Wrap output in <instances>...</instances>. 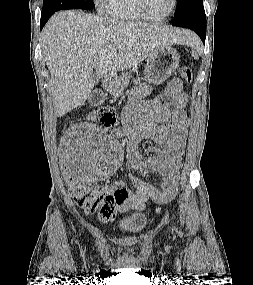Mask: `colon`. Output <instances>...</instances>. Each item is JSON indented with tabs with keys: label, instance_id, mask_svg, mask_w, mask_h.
I'll list each match as a JSON object with an SVG mask.
<instances>
[{
	"label": "colon",
	"instance_id": "1",
	"mask_svg": "<svg viewBox=\"0 0 253 285\" xmlns=\"http://www.w3.org/2000/svg\"><path fill=\"white\" fill-rule=\"evenodd\" d=\"M179 75L187 82L193 79L192 70L188 66H182ZM69 140V136L60 140L61 149L57 150V157L61 158L59 172L66 176L75 203L86 212H98L102 220L108 221L114 216L116 206L128 199V191L124 187L86 185L81 182L80 176L73 175L71 171L70 151L73 150V144Z\"/></svg>",
	"mask_w": 253,
	"mask_h": 285
}]
</instances>
